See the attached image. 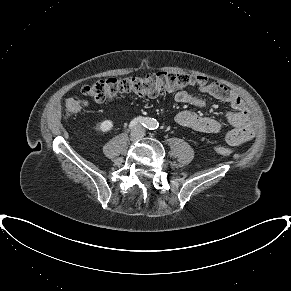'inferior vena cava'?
<instances>
[{
	"label": "inferior vena cava",
	"mask_w": 291,
	"mask_h": 291,
	"mask_svg": "<svg viewBox=\"0 0 291 291\" xmlns=\"http://www.w3.org/2000/svg\"><path fill=\"white\" fill-rule=\"evenodd\" d=\"M145 135V129L141 126L138 125L135 127V129L132 131V136L135 138H142Z\"/></svg>",
	"instance_id": "1"
}]
</instances>
